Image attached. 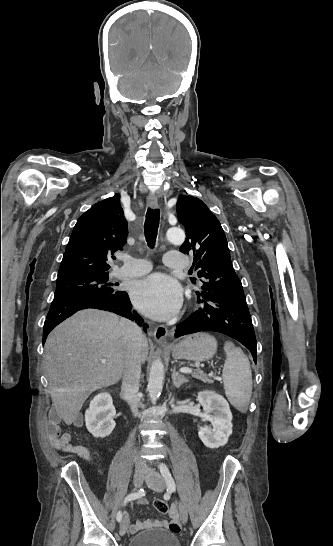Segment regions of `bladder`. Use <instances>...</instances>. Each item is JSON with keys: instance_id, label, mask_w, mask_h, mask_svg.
<instances>
[{"instance_id": "bladder-1", "label": "bladder", "mask_w": 333, "mask_h": 546, "mask_svg": "<svg viewBox=\"0 0 333 546\" xmlns=\"http://www.w3.org/2000/svg\"><path fill=\"white\" fill-rule=\"evenodd\" d=\"M128 546H180L175 534L166 529H152L134 535Z\"/></svg>"}]
</instances>
